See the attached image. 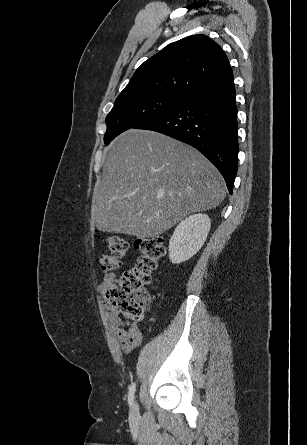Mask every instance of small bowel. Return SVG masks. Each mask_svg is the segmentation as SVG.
Masks as SVG:
<instances>
[{
  "mask_svg": "<svg viewBox=\"0 0 307 445\" xmlns=\"http://www.w3.org/2000/svg\"><path fill=\"white\" fill-rule=\"evenodd\" d=\"M116 279L114 273H107L98 289L103 295V301L107 308L106 317L116 340L121 345L125 353H130L139 347L141 342V332L139 328L133 324L125 322L119 315L118 310L110 305V300L106 297V291L110 284Z\"/></svg>",
  "mask_w": 307,
  "mask_h": 445,
  "instance_id": "obj_1",
  "label": "small bowel"
}]
</instances>
